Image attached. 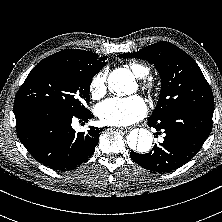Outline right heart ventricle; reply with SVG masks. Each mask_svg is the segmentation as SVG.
I'll list each match as a JSON object with an SVG mask.
<instances>
[{
    "instance_id": "obj_1",
    "label": "right heart ventricle",
    "mask_w": 222,
    "mask_h": 222,
    "mask_svg": "<svg viewBox=\"0 0 222 222\" xmlns=\"http://www.w3.org/2000/svg\"><path fill=\"white\" fill-rule=\"evenodd\" d=\"M127 66L138 78H143L149 73V68L139 62L131 61Z\"/></svg>"
}]
</instances>
